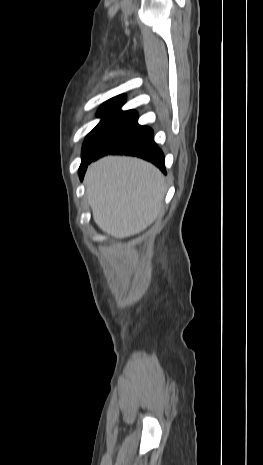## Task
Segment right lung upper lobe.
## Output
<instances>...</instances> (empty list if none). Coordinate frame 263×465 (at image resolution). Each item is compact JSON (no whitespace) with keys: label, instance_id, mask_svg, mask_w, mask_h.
Masks as SVG:
<instances>
[{"label":"right lung upper lobe","instance_id":"cb5924a9","mask_svg":"<svg viewBox=\"0 0 263 465\" xmlns=\"http://www.w3.org/2000/svg\"><path fill=\"white\" fill-rule=\"evenodd\" d=\"M109 101H123L124 102V97L123 96H117Z\"/></svg>","mask_w":263,"mask_h":465}]
</instances>
